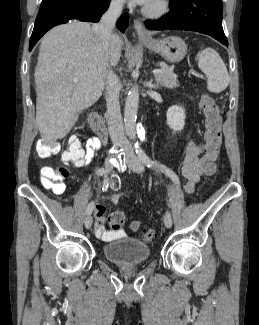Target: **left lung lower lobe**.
Returning <instances> with one entry per match:
<instances>
[{
  "instance_id": "left-lung-lower-lobe-1",
  "label": "left lung lower lobe",
  "mask_w": 259,
  "mask_h": 325,
  "mask_svg": "<svg viewBox=\"0 0 259 325\" xmlns=\"http://www.w3.org/2000/svg\"><path fill=\"white\" fill-rule=\"evenodd\" d=\"M168 14L158 20L146 21L151 30H189L212 36L228 46L222 28L221 0H170Z\"/></svg>"
}]
</instances>
